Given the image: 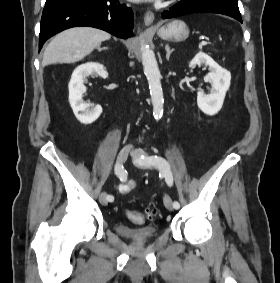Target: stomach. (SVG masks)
<instances>
[{
    "mask_svg": "<svg viewBox=\"0 0 280 283\" xmlns=\"http://www.w3.org/2000/svg\"><path fill=\"white\" fill-rule=\"evenodd\" d=\"M157 35L163 40L181 42L189 37V28L182 20H172L160 27Z\"/></svg>",
    "mask_w": 280,
    "mask_h": 283,
    "instance_id": "stomach-1",
    "label": "stomach"
}]
</instances>
